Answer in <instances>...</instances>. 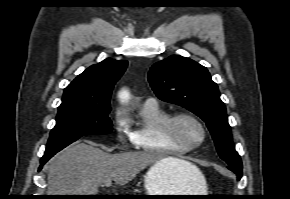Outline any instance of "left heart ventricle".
<instances>
[{
  "label": "left heart ventricle",
  "instance_id": "1",
  "mask_svg": "<svg viewBox=\"0 0 290 199\" xmlns=\"http://www.w3.org/2000/svg\"><path fill=\"white\" fill-rule=\"evenodd\" d=\"M176 129L179 135L190 143L198 142L202 137V132L199 126L187 120L180 121L177 124Z\"/></svg>",
  "mask_w": 290,
  "mask_h": 199
}]
</instances>
